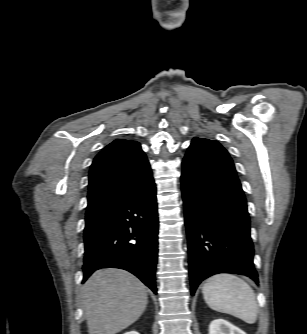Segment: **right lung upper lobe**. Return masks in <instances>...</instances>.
Listing matches in <instances>:
<instances>
[{"mask_svg":"<svg viewBox=\"0 0 307 334\" xmlns=\"http://www.w3.org/2000/svg\"><path fill=\"white\" fill-rule=\"evenodd\" d=\"M153 181L138 142L117 139L93 160L89 172L86 217H96Z\"/></svg>","mask_w":307,"mask_h":334,"instance_id":"obj_1","label":"right lung upper lobe"}]
</instances>
